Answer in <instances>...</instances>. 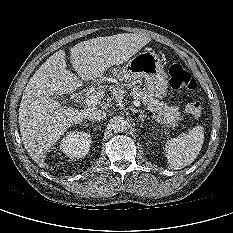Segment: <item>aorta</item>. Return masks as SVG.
Here are the masks:
<instances>
[{
  "label": "aorta",
  "mask_w": 233,
  "mask_h": 233,
  "mask_svg": "<svg viewBox=\"0 0 233 233\" xmlns=\"http://www.w3.org/2000/svg\"><path fill=\"white\" fill-rule=\"evenodd\" d=\"M110 124L114 132H124L128 126L127 120L122 116L114 117L111 119Z\"/></svg>",
  "instance_id": "aorta-1"
}]
</instances>
